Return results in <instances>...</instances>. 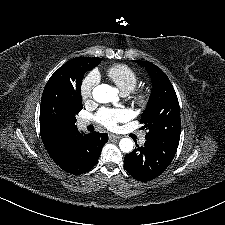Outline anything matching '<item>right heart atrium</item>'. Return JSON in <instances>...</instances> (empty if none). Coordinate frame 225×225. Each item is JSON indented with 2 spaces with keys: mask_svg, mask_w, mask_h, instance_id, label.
<instances>
[{
  "mask_svg": "<svg viewBox=\"0 0 225 225\" xmlns=\"http://www.w3.org/2000/svg\"><path fill=\"white\" fill-rule=\"evenodd\" d=\"M98 81L99 76L95 71L89 72L84 77L80 89V94L84 101H91L93 99V92Z\"/></svg>",
  "mask_w": 225,
  "mask_h": 225,
  "instance_id": "obj_1",
  "label": "right heart atrium"
}]
</instances>
